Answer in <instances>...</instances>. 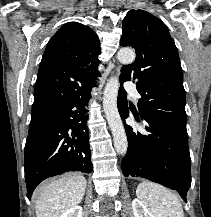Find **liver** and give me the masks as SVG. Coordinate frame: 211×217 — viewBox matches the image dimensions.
Segmentation results:
<instances>
[{"label":"liver","mask_w":211,"mask_h":217,"mask_svg":"<svg viewBox=\"0 0 211 217\" xmlns=\"http://www.w3.org/2000/svg\"><path fill=\"white\" fill-rule=\"evenodd\" d=\"M85 189L86 179L78 174L43 184L36 200V217H60L82 201Z\"/></svg>","instance_id":"1"}]
</instances>
